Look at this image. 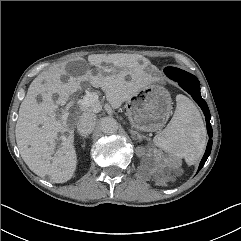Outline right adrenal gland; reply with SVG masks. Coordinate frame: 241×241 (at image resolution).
<instances>
[{
    "label": "right adrenal gland",
    "instance_id": "2a0ac1e0",
    "mask_svg": "<svg viewBox=\"0 0 241 241\" xmlns=\"http://www.w3.org/2000/svg\"><path fill=\"white\" fill-rule=\"evenodd\" d=\"M81 137L83 138H88L89 136L88 135H85V134H80Z\"/></svg>",
    "mask_w": 241,
    "mask_h": 241
}]
</instances>
